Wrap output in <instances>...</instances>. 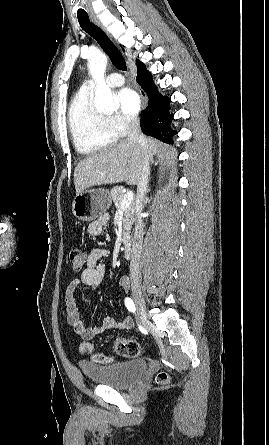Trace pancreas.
<instances>
[{"mask_svg":"<svg viewBox=\"0 0 269 445\" xmlns=\"http://www.w3.org/2000/svg\"><path fill=\"white\" fill-rule=\"evenodd\" d=\"M125 193L123 192V187L115 186L111 190V197L113 202L115 203L116 208H120V203L124 197ZM135 215V203L132 202L127 208L124 209L123 213V242H130V230L132 228V224L134 222Z\"/></svg>","mask_w":269,"mask_h":445,"instance_id":"obj_1","label":"pancreas"}]
</instances>
